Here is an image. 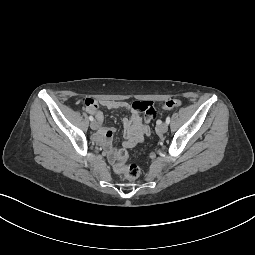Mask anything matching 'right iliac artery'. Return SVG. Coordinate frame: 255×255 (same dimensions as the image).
Listing matches in <instances>:
<instances>
[{"label":"right iliac artery","instance_id":"1","mask_svg":"<svg viewBox=\"0 0 255 255\" xmlns=\"http://www.w3.org/2000/svg\"><path fill=\"white\" fill-rule=\"evenodd\" d=\"M89 120L93 121L94 120L93 116H89Z\"/></svg>","mask_w":255,"mask_h":255}]
</instances>
